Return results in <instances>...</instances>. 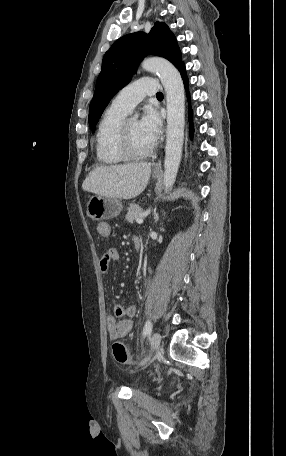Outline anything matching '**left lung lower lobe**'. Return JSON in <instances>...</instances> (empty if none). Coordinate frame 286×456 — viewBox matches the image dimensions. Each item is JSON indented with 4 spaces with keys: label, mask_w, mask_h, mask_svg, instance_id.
<instances>
[{
    "label": "left lung lower lobe",
    "mask_w": 286,
    "mask_h": 456,
    "mask_svg": "<svg viewBox=\"0 0 286 456\" xmlns=\"http://www.w3.org/2000/svg\"><path fill=\"white\" fill-rule=\"evenodd\" d=\"M178 70L179 72L181 73V76L183 78V81H184V84H185V87H186V91H187V97H188V101H190V95L188 93V79H187V75H186V70H185V65L184 63H182L179 67H178ZM192 110H191V107L189 106V122H190V133L192 134L193 133V125H192Z\"/></svg>",
    "instance_id": "0a47b994"
}]
</instances>
